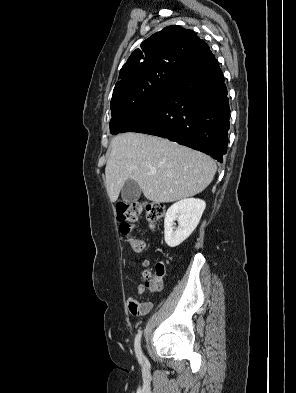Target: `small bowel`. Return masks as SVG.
I'll use <instances>...</instances> for the list:
<instances>
[{
	"label": "small bowel",
	"instance_id": "obj_1",
	"mask_svg": "<svg viewBox=\"0 0 296 393\" xmlns=\"http://www.w3.org/2000/svg\"><path fill=\"white\" fill-rule=\"evenodd\" d=\"M149 265V260H144L142 262L143 267H147ZM162 288L161 283L157 285L156 288H151L153 292H159ZM146 292V286L144 284H140L137 287V293L138 295L142 296ZM127 306L128 310L131 315L133 316H143L148 314L152 308H153V303L151 301H146V302H140L138 301L134 296L130 295L127 298Z\"/></svg>",
	"mask_w": 296,
	"mask_h": 393
}]
</instances>
